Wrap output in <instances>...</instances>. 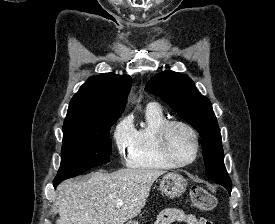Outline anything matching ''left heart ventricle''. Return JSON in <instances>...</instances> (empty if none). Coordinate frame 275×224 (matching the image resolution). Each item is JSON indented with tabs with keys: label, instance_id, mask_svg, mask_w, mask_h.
<instances>
[{
	"label": "left heart ventricle",
	"instance_id": "left-heart-ventricle-1",
	"mask_svg": "<svg viewBox=\"0 0 275 224\" xmlns=\"http://www.w3.org/2000/svg\"><path fill=\"white\" fill-rule=\"evenodd\" d=\"M168 147L171 154L179 161L190 160L194 155V140L191 134L182 127H174L170 130Z\"/></svg>",
	"mask_w": 275,
	"mask_h": 224
}]
</instances>
